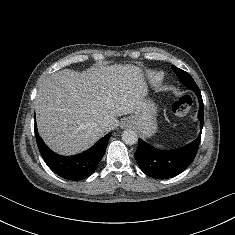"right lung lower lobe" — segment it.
Masks as SVG:
<instances>
[{
    "label": "right lung lower lobe",
    "mask_w": 235,
    "mask_h": 235,
    "mask_svg": "<svg viewBox=\"0 0 235 235\" xmlns=\"http://www.w3.org/2000/svg\"><path fill=\"white\" fill-rule=\"evenodd\" d=\"M35 135L39 151L47 166L57 175L68 180H81L90 176L102 159L111 133L100 139L87 151L74 156H61L50 150L37 132Z\"/></svg>",
    "instance_id": "98d812e1"
}]
</instances>
